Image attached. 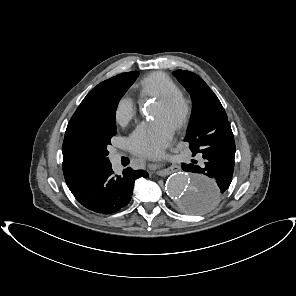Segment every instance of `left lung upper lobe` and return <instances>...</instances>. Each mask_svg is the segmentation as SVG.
Segmentation results:
<instances>
[{"label":"left lung upper lobe","mask_w":296,"mask_h":296,"mask_svg":"<svg viewBox=\"0 0 296 296\" xmlns=\"http://www.w3.org/2000/svg\"><path fill=\"white\" fill-rule=\"evenodd\" d=\"M174 75L190 93L193 103L184 141L190 144L193 155L202 153V149L207 147L206 137L217 128L229 123L227 115L217 96L198 75L183 70L175 71ZM193 202L189 200L182 208L191 212Z\"/></svg>","instance_id":"1"}]
</instances>
